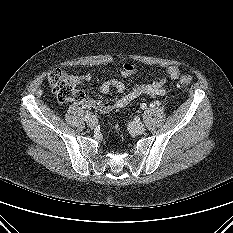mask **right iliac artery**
<instances>
[{
  "label": "right iliac artery",
  "mask_w": 233,
  "mask_h": 233,
  "mask_svg": "<svg viewBox=\"0 0 233 233\" xmlns=\"http://www.w3.org/2000/svg\"><path fill=\"white\" fill-rule=\"evenodd\" d=\"M91 118V113H87L84 117L85 121H88Z\"/></svg>",
  "instance_id": "right-iliac-artery-1"
}]
</instances>
